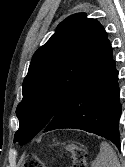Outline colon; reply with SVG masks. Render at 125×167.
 <instances>
[{
	"mask_svg": "<svg viewBox=\"0 0 125 167\" xmlns=\"http://www.w3.org/2000/svg\"><path fill=\"white\" fill-rule=\"evenodd\" d=\"M71 153L70 167H87L86 166V152L79 146H71L69 148ZM23 167H46L44 162L35 154L26 156Z\"/></svg>",
	"mask_w": 125,
	"mask_h": 167,
	"instance_id": "colon-1",
	"label": "colon"
}]
</instances>
